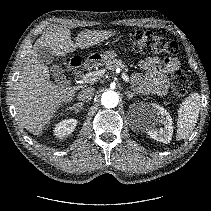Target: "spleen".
Masks as SVG:
<instances>
[{
    "instance_id": "3e777b00",
    "label": "spleen",
    "mask_w": 211,
    "mask_h": 211,
    "mask_svg": "<svg viewBox=\"0 0 211 211\" xmlns=\"http://www.w3.org/2000/svg\"><path fill=\"white\" fill-rule=\"evenodd\" d=\"M198 92L191 93L178 110L177 140L184 139L194 129L200 112L201 99Z\"/></svg>"
}]
</instances>
